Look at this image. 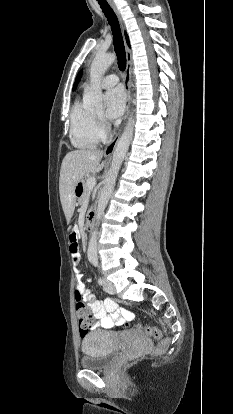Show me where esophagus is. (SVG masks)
I'll return each instance as SVG.
<instances>
[{
	"label": "esophagus",
	"mask_w": 233,
	"mask_h": 414,
	"mask_svg": "<svg viewBox=\"0 0 233 414\" xmlns=\"http://www.w3.org/2000/svg\"><path fill=\"white\" fill-rule=\"evenodd\" d=\"M110 1V5L112 7V9L114 10L120 25L122 27V30H124V26H123V22H122V18L120 15L119 10L116 8L115 4L112 2V0ZM125 53H126V69H125V75H124V86H125V90H126V109H125V117H124V122L123 125L121 126L119 132L116 134V136L113 138V140L106 146V148L104 149V154L110 156L119 139L120 136L125 128L126 125V121L129 115V109H130V98H131V93H130V86H131V64H132V53L131 50L129 49V47L125 44Z\"/></svg>",
	"instance_id": "obj_1"
}]
</instances>
